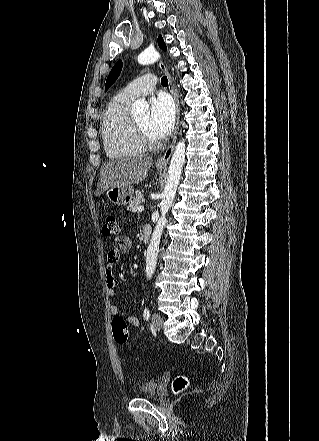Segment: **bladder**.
Returning <instances> with one entry per match:
<instances>
[{"label":"bladder","instance_id":"31cf9c89","mask_svg":"<svg viewBox=\"0 0 319 441\" xmlns=\"http://www.w3.org/2000/svg\"><path fill=\"white\" fill-rule=\"evenodd\" d=\"M138 394L140 396H155L158 394V384L156 380H148L141 384Z\"/></svg>","mask_w":319,"mask_h":441}]
</instances>
